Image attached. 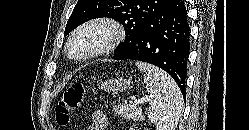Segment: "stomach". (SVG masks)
I'll return each mask as SVG.
<instances>
[{"instance_id":"stomach-1","label":"stomach","mask_w":249,"mask_h":130,"mask_svg":"<svg viewBox=\"0 0 249 130\" xmlns=\"http://www.w3.org/2000/svg\"><path fill=\"white\" fill-rule=\"evenodd\" d=\"M131 85V80L124 78H111L102 83L101 88L106 92L116 94L128 89Z\"/></svg>"}]
</instances>
